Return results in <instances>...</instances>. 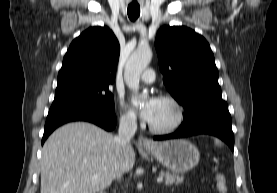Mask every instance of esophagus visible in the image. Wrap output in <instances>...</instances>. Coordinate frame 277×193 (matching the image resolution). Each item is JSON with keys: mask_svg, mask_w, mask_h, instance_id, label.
<instances>
[{"mask_svg": "<svg viewBox=\"0 0 277 193\" xmlns=\"http://www.w3.org/2000/svg\"><path fill=\"white\" fill-rule=\"evenodd\" d=\"M138 143L141 145V146H144V147H151L153 146V142L148 139L147 137L143 136V135H140L138 137Z\"/></svg>", "mask_w": 277, "mask_h": 193, "instance_id": "obj_1", "label": "esophagus"}]
</instances>
